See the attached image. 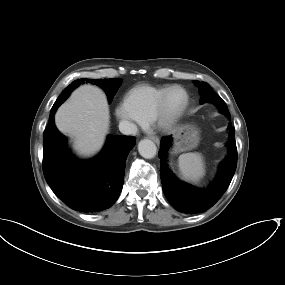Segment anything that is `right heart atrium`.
<instances>
[{
	"mask_svg": "<svg viewBox=\"0 0 285 285\" xmlns=\"http://www.w3.org/2000/svg\"><path fill=\"white\" fill-rule=\"evenodd\" d=\"M114 116L124 130H133L138 123V119L125 102L116 106Z\"/></svg>",
	"mask_w": 285,
	"mask_h": 285,
	"instance_id": "obj_1",
	"label": "right heart atrium"
}]
</instances>
